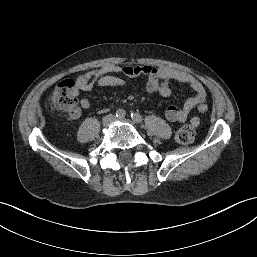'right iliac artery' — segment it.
Wrapping results in <instances>:
<instances>
[{"mask_svg": "<svg viewBox=\"0 0 257 257\" xmlns=\"http://www.w3.org/2000/svg\"><path fill=\"white\" fill-rule=\"evenodd\" d=\"M125 111L123 109H119L116 111V117L118 118H124L125 117Z\"/></svg>", "mask_w": 257, "mask_h": 257, "instance_id": "82829eb1", "label": "right iliac artery"}]
</instances>
